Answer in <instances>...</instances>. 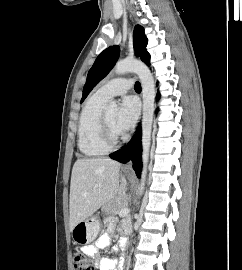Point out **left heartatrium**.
<instances>
[{"label":"left heart atrium","mask_w":242,"mask_h":270,"mask_svg":"<svg viewBox=\"0 0 242 270\" xmlns=\"http://www.w3.org/2000/svg\"><path fill=\"white\" fill-rule=\"evenodd\" d=\"M139 103L134 97H126L120 105L117 125L122 132L131 129L139 116Z\"/></svg>","instance_id":"1"}]
</instances>
